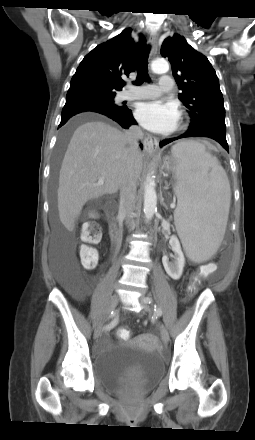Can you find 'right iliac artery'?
Wrapping results in <instances>:
<instances>
[{
  "mask_svg": "<svg viewBox=\"0 0 255 440\" xmlns=\"http://www.w3.org/2000/svg\"><path fill=\"white\" fill-rule=\"evenodd\" d=\"M111 314L114 317V319L111 321L110 324H108V325H106L104 327V330H110V329L114 328L118 324V321H119L118 314L116 312H114V311H112Z\"/></svg>",
  "mask_w": 255,
  "mask_h": 440,
  "instance_id": "obj_1",
  "label": "right iliac artery"
}]
</instances>
